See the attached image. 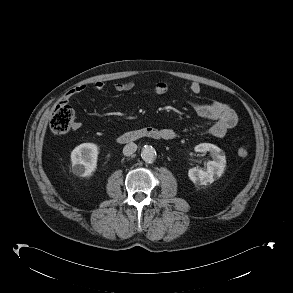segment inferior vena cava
<instances>
[{
  "label": "inferior vena cava",
  "mask_w": 293,
  "mask_h": 293,
  "mask_svg": "<svg viewBox=\"0 0 293 293\" xmlns=\"http://www.w3.org/2000/svg\"><path fill=\"white\" fill-rule=\"evenodd\" d=\"M137 150V145L133 142L127 144L123 148V154L125 156H130L132 155L135 151Z\"/></svg>",
  "instance_id": "obj_1"
}]
</instances>
